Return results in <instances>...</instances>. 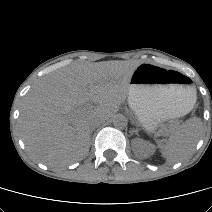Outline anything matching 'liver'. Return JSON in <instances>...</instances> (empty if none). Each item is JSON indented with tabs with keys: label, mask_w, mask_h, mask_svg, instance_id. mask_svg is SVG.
<instances>
[{
	"label": "liver",
	"mask_w": 212,
	"mask_h": 212,
	"mask_svg": "<svg viewBox=\"0 0 212 212\" xmlns=\"http://www.w3.org/2000/svg\"><path fill=\"white\" fill-rule=\"evenodd\" d=\"M138 64L107 61L75 63L43 78L24 98L19 131L30 155L48 166L85 157L90 148L89 119L103 120L128 98ZM92 102L78 112L77 107Z\"/></svg>",
	"instance_id": "1"
}]
</instances>
